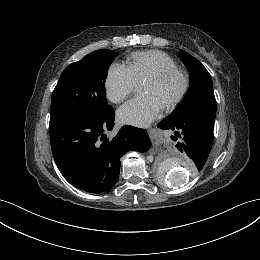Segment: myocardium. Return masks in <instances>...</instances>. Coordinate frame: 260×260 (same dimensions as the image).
<instances>
[{"label":"myocardium","instance_id":"obj_1","mask_svg":"<svg viewBox=\"0 0 260 260\" xmlns=\"http://www.w3.org/2000/svg\"><path fill=\"white\" fill-rule=\"evenodd\" d=\"M176 75H178L182 78L183 85H182L180 92L172 100H170L168 103L165 104V107H167V108L175 107L186 96V94L189 90V87H190V78H189L188 73L180 68H171V69H166V70L160 71L146 79V82L160 84V83L166 81L167 79H169L173 76H176Z\"/></svg>","mask_w":260,"mask_h":260}]
</instances>
